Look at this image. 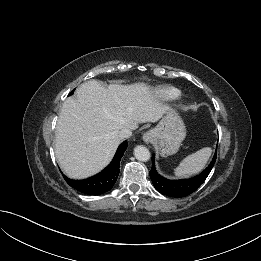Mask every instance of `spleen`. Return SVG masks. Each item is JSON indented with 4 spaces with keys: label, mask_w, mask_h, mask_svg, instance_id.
Masks as SVG:
<instances>
[{
    "label": "spleen",
    "mask_w": 261,
    "mask_h": 261,
    "mask_svg": "<svg viewBox=\"0 0 261 261\" xmlns=\"http://www.w3.org/2000/svg\"><path fill=\"white\" fill-rule=\"evenodd\" d=\"M211 153L212 149L205 147L188 155L175 169V175L177 177H186L200 172L205 167Z\"/></svg>",
    "instance_id": "1"
}]
</instances>
